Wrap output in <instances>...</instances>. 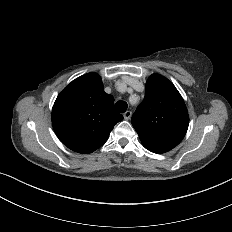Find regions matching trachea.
<instances>
[{"mask_svg": "<svg viewBox=\"0 0 232 232\" xmlns=\"http://www.w3.org/2000/svg\"><path fill=\"white\" fill-rule=\"evenodd\" d=\"M127 103L123 100H120L116 103V109L120 113H124L127 110Z\"/></svg>", "mask_w": 232, "mask_h": 232, "instance_id": "1", "label": "trachea"}]
</instances>
